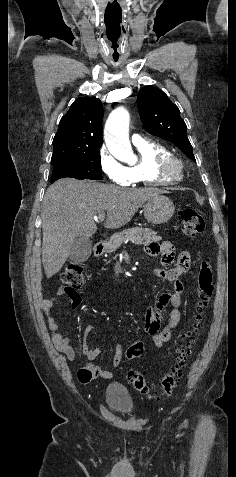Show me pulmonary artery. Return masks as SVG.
<instances>
[{
  "label": "pulmonary artery",
  "mask_w": 236,
  "mask_h": 477,
  "mask_svg": "<svg viewBox=\"0 0 236 477\" xmlns=\"http://www.w3.org/2000/svg\"><path fill=\"white\" fill-rule=\"evenodd\" d=\"M131 140H132L133 144L135 145V144L143 141V138L140 134L135 133V134L132 135Z\"/></svg>",
  "instance_id": "1"
}]
</instances>
